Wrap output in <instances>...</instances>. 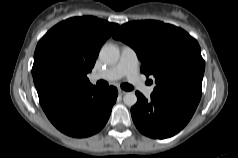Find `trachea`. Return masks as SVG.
<instances>
[{
  "mask_svg": "<svg viewBox=\"0 0 238 158\" xmlns=\"http://www.w3.org/2000/svg\"><path fill=\"white\" fill-rule=\"evenodd\" d=\"M99 85H100L101 87H106V86L108 85V83L105 82V81H100V82H99ZM121 88L124 89V90H126V91L133 90V86L130 85V84H128V83H123V84H121Z\"/></svg>",
  "mask_w": 238,
  "mask_h": 158,
  "instance_id": "1",
  "label": "trachea"
}]
</instances>
